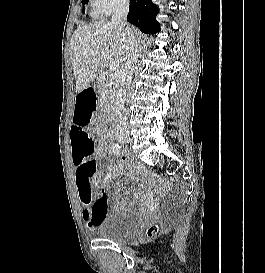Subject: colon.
<instances>
[{
    "label": "colon",
    "mask_w": 265,
    "mask_h": 273,
    "mask_svg": "<svg viewBox=\"0 0 265 273\" xmlns=\"http://www.w3.org/2000/svg\"><path fill=\"white\" fill-rule=\"evenodd\" d=\"M77 124V123H76ZM87 124V123H85ZM83 137L87 138L88 140H91L92 141V135L91 133H89L88 131H84L83 134H82ZM95 210L96 212H98L99 208H100V204L99 203H96L95 204ZM159 228L157 226H151L148 230H147V236L148 237H151L153 236L156 232H158Z\"/></svg>",
    "instance_id": "5ec220e1"
}]
</instances>
